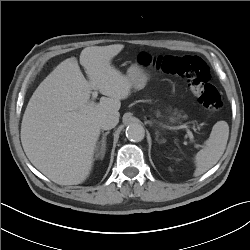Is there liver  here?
<instances>
[{
	"mask_svg": "<svg viewBox=\"0 0 250 250\" xmlns=\"http://www.w3.org/2000/svg\"><path fill=\"white\" fill-rule=\"evenodd\" d=\"M124 45L86 47L80 64L75 57L61 62L37 87L30 98L21 124V142L30 162L59 185L84 182L93 166L100 136V120L119 118L121 100L131 92L128 76L111 65ZM102 95L90 100L92 90Z\"/></svg>",
	"mask_w": 250,
	"mask_h": 250,
	"instance_id": "liver-1",
	"label": "liver"
}]
</instances>
